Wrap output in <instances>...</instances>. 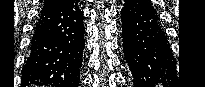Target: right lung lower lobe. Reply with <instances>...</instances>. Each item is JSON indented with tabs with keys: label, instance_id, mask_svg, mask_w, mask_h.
<instances>
[{
	"label": "right lung lower lobe",
	"instance_id": "1",
	"mask_svg": "<svg viewBox=\"0 0 205 87\" xmlns=\"http://www.w3.org/2000/svg\"><path fill=\"white\" fill-rule=\"evenodd\" d=\"M82 18L78 0L41 11L22 69V87H78L85 44Z\"/></svg>",
	"mask_w": 205,
	"mask_h": 87
}]
</instances>
